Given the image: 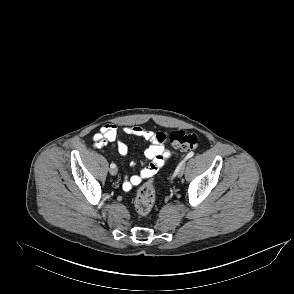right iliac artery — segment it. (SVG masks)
Masks as SVG:
<instances>
[{
    "instance_id": "82829eb1",
    "label": "right iliac artery",
    "mask_w": 294,
    "mask_h": 294,
    "mask_svg": "<svg viewBox=\"0 0 294 294\" xmlns=\"http://www.w3.org/2000/svg\"><path fill=\"white\" fill-rule=\"evenodd\" d=\"M110 167H111V168H114V167H115V164L112 163V164L110 165Z\"/></svg>"
}]
</instances>
